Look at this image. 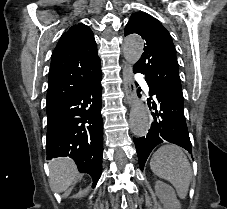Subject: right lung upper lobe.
Here are the masks:
<instances>
[{
    "label": "right lung upper lobe",
    "instance_id": "right-lung-upper-lobe-1",
    "mask_svg": "<svg viewBox=\"0 0 227 209\" xmlns=\"http://www.w3.org/2000/svg\"><path fill=\"white\" fill-rule=\"evenodd\" d=\"M80 67L87 72H77ZM100 71L93 32L82 23L72 26L61 36L51 56L46 107L68 97Z\"/></svg>",
    "mask_w": 227,
    "mask_h": 209
}]
</instances>
